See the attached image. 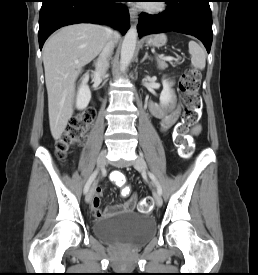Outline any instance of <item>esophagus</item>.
Returning <instances> with one entry per match:
<instances>
[{"label":"esophagus","instance_id":"34e87169","mask_svg":"<svg viewBox=\"0 0 258 275\" xmlns=\"http://www.w3.org/2000/svg\"><path fill=\"white\" fill-rule=\"evenodd\" d=\"M129 15H130V20L133 23H136L138 19V10L135 7H131L129 9Z\"/></svg>","mask_w":258,"mask_h":275}]
</instances>
